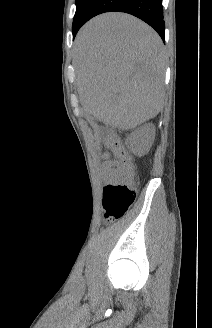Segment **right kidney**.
<instances>
[{"label":"right kidney","mask_w":212,"mask_h":328,"mask_svg":"<svg viewBox=\"0 0 212 328\" xmlns=\"http://www.w3.org/2000/svg\"><path fill=\"white\" fill-rule=\"evenodd\" d=\"M155 127L152 124L145 125L135 133L131 140L137 144L138 151H142L148 144L149 139L154 135Z\"/></svg>","instance_id":"1"}]
</instances>
